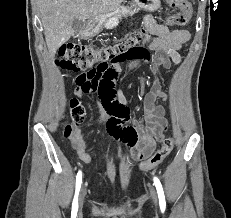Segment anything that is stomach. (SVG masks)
<instances>
[{
	"instance_id": "obj_1",
	"label": "stomach",
	"mask_w": 231,
	"mask_h": 218,
	"mask_svg": "<svg viewBox=\"0 0 231 218\" xmlns=\"http://www.w3.org/2000/svg\"><path fill=\"white\" fill-rule=\"evenodd\" d=\"M160 7V0H132L130 7L120 6L118 7L111 16L114 15H133L135 12L143 9L145 11H155ZM106 17L97 20L95 24L89 27V34L97 33L102 26L103 21Z\"/></svg>"
}]
</instances>
